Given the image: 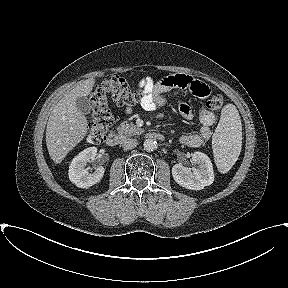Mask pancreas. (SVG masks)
Instances as JSON below:
<instances>
[{"instance_id": "cf45deb5", "label": "pancreas", "mask_w": 288, "mask_h": 288, "mask_svg": "<svg viewBox=\"0 0 288 288\" xmlns=\"http://www.w3.org/2000/svg\"><path fill=\"white\" fill-rule=\"evenodd\" d=\"M117 131L123 136L139 135L144 132V129L137 127L134 124L121 123L117 127Z\"/></svg>"}]
</instances>
